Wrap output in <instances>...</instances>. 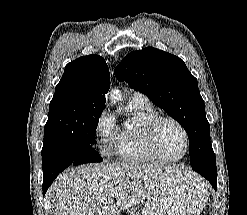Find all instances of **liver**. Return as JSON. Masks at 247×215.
Masks as SVG:
<instances>
[{
	"instance_id": "6515ba94",
	"label": "liver",
	"mask_w": 247,
	"mask_h": 215,
	"mask_svg": "<svg viewBox=\"0 0 247 215\" xmlns=\"http://www.w3.org/2000/svg\"><path fill=\"white\" fill-rule=\"evenodd\" d=\"M183 171L163 163L88 164L66 170L54 181L48 196L56 215H116L148 199Z\"/></svg>"
}]
</instances>
